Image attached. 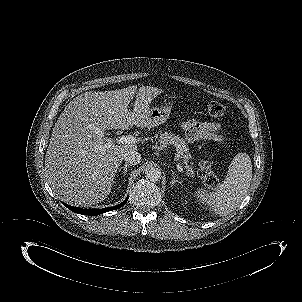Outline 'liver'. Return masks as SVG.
Returning a JSON list of instances; mask_svg holds the SVG:
<instances>
[{
  "mask_svg": "<svg viewBox=\"0 0 302 302\" xmlns=\"http://www.w3.org/2000/svg\"><path fill=\"white\" fill-rule=\"evenodd\" d=\"M135 93L134 86L89 91L75 97L64 108L53 127L45 168L52 189L65 202L91 206L109 196L123 154L130 149L137 151V146L112 144L104 148L105 131L148 126L151 96L140 88L130 112L128 105ZM153 93L157 95L161 90L154 88Z\"/></svg>",
  "mask_w": 302,
  "mask_h": 302,
  "instance_id": "liver-1",
  "label": "liver"
}]
</instances>
